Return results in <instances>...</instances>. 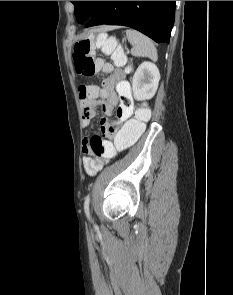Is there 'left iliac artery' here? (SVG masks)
Instances as JSON below:
<instances>
[{"instance_id": "1", "label": "left iliac artery", "mask_w": 233, "mask_h": 295, "mask_svg": "<svg viewBox=\"0 0 233 295\" xmlns=\"http://www.w3.org/2000/svg\"><path fill=\"white\" fill-rule=\"evenodd\" d=\"M89 203H90V195H88L84 201V210L88 219H90Z\"/></svg>"}]
</instances>
